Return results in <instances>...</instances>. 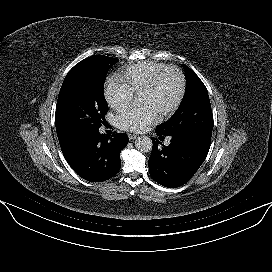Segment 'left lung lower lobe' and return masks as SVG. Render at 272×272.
I'll list each match as a JSON object with an SVG mask.
<instances>
[{
    "label": "left lung lower lobe",
    "mask_w": 272,
    "mask_h": 272,
    "mask_svg": "<svg viewBox=\"0 0 272 272\" xmlns=\"http://www.w3.org/2000/svg\"><path fill=\"white\" fill-rule=\"evenodd\" d=\"M159 139L171 136L169 146L158 147L152 138L153 148L148 166L151 177L160 185L176 188L184 185L204 162L211 138L194 135H164L156 129Z\"/></svg>",
    "instance_id": "1"
}]
</instances>
